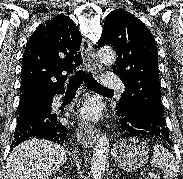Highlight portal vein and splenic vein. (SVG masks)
Segmentation results:
<instances>
[{
	"label": "portal vein and splenic vein",
	"instance_id": "18ae733b",
	"mask_svg": "<svg viewBox=\"0 0 183 179\" xmlns=\"http://www.w3.org/2000/svg\"><path fill=\"white\" fill-rule=\"evenodd\" d=\"M155 174L153 173V172H149L148 173V176L145 178V179H147L149 176H154Z\"/></svg>",
	"mask_w": 183,
	"mask_h": 179
}]
</instances>
